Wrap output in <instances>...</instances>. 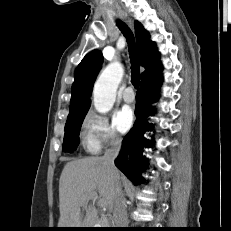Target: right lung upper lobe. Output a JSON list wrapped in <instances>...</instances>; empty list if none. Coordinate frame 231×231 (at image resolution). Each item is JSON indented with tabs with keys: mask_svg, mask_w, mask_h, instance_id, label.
I'll return each instance as SVG.
<instances>
[{
	"mask_svg": "<svg viewBox=\"0 0 231 231\" xmlns=\"http://www.w3.org/2000/svg\"><path fill=\"white\" fill-rule=\"evenodd\" d=\"M135 34L139 62L145 68V71L141 74V81H144L159 74L162 66L158 63L159 53H157L155 43L149 40V33L138 21H135ZM102 61L101 51L93 50L77 66L71 91L69 116L89 109V97Z\"/></svg>",
	"mask_w": 231,
	"mask_h": 231,
	"instance_id": "1",
	"label": "right lung upper lobe"
}]
</instances>
